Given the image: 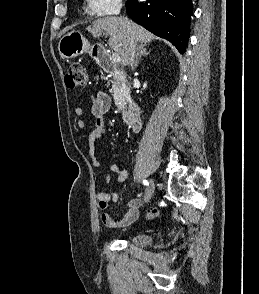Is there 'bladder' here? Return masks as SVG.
<instances>
[{
  "instance_id": "bladder-1",
  "label": "bladder",
  "mask_w": 259,
  "mask_h": 294,
  "mask_svg": "<svg viewBox=\"0 0 259 294\" xmlns=\"http://www.w3.org/2000/svg\"><path fill=\"white\" fill-rule=\"evenodd\" d=\"M152 241V236L145 233H137L129 238V242L134 245L145 246Z\"/></svg>"
}]
</instances>
